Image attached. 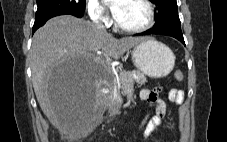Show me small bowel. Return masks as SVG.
Here are the masks:
<instances>
[{"label":"small bowel","instance_id":"small-bowel-1","mask_svg":"<svg viewBox=\"0 0 227 142\" xmlns=\"http://www.w3.org/2000/svg\"><path fill=\"white\" fill-rule=\"evenodd\" d=\"M161 88H144L140 92V96L144 101L155 104V116L143 132L145 138L152 135V133L161 125L162 119L166 114V104L160 98ZM169 100L176 104H181L184 100V92L178 89H171L168 93Z\"/></svg>","mask_w":227,"mask_h":142}]
</instances>
